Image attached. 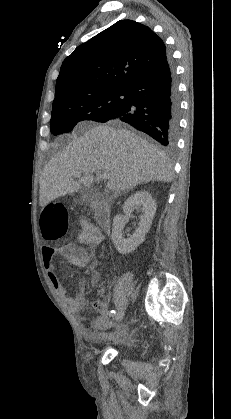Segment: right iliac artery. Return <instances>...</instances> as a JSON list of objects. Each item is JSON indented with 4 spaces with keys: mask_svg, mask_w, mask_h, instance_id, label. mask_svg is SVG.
<instances>
[{
    "mask_svg": "<svg viewBox=\"0 0 231 419\" xmlns=\"http://www.w3.org/2000/svg\"><path fill=\"white\" fill-rule=\"evenodd\" d=\"M115 313H116V312H115V310H111V311L109 312V316H113Z\"/></svg>",
    "mask_w": 231,
    "mask_h": 419,
    "instance_id": "obj_1",
    "label": "right iliac artery"
}]
</instances>
